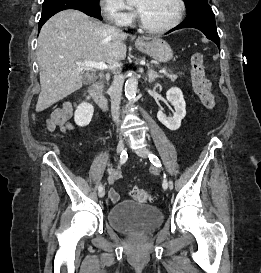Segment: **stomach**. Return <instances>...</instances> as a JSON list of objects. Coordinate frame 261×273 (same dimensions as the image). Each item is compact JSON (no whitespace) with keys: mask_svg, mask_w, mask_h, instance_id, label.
<instances>
[{"mask_svg":"<svg viewBox=\"0 0 261 273\" xmlns=\"http://www.w3.org/2000/svg\"><path fill=\"white\" fill-rule=\"evenodd\" d=\"M135 45L140 51L159 62L166 63L173 58L170 45L162 39H152L150 41L138 39Z\"/></svg>","mask_w":261,"mask_h":273,"instance_id":"0dacf381","label":"stomach"}]
</instances>
